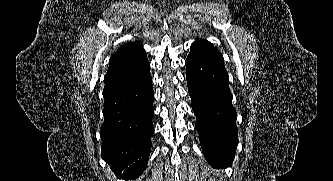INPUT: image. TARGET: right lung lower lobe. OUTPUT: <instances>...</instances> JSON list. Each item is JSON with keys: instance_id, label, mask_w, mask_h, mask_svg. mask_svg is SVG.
Masks as SVG:
<instances>
[{"instance_id": "right-lung-lower-lobe-1", "label": "right lung lower lobe", "mask_w": 333, "mask_h": 181, "mask_svg": "<svg viewBox=\"0 0 333 181\" xmlns=\"http://www.w3.org/2000/svg\"><path fill=\"white\" fill-rule=\"evenodd\" d=\"M153 97L150 72L104 96L102 158L118 178L135 179L146 168L154 132Z\"/></svg>"}]
</instances>
